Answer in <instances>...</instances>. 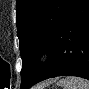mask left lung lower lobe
<instances>
[{
	"instance_id": "1",
	"label": "left lung lower lobe",
	"mask_w": 89,
	"mask_h": 89,
	"mask_svg": "<svg viewBox=\"0 0 89 89\" xmlns=\"http://www.w3.org/2000/svg\"><path fill=\"white\" fill-rule=\"evenodd\" d=\"M26 87L56 76H78L89 80V0H72L64 13L48 51Z\"/></svg>"
}]
</instances>
